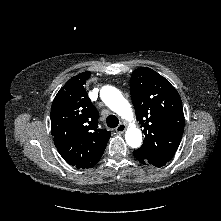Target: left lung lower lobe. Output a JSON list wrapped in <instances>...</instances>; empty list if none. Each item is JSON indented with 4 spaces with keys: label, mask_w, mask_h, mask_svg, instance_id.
Returning a JSON list of instances; mask_svg holds the SVG:
<instances>
[{
    "label": "left lung lower lobe",
    "mask_w": 221,
    "mask_h": 221,
    "mask_svg": "<svg viewBox=\"0 0 221 221\" xmlns=\"http://www.w3.org/2000/svg\"><path fill=\"white\" fill-rule=\"evenodd\" d=\"M133 155L139 162L143 164L147 163L146 160L143 157H141L139 154H137L136 152H133Z\"/></svg>",
    "instance_id": "obj_1"
}]
</instances>
